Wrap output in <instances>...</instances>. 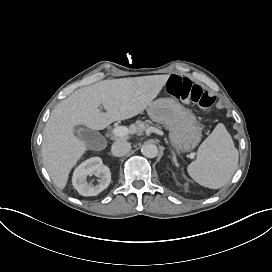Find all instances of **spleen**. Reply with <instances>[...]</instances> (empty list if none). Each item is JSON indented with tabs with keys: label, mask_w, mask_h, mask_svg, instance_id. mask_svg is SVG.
<instances>
[{
	"label": "spleen",
	"mask_w": 272,
	"mask_h": 272,
	"mask_svg": "<svg viewBox=\"0 0 272 272\" xmlns=\"http://www.w3.org/2000/svg\"><path fill=\"white\" fill-rule=\"evenodd\" d=\"M196 156L187 173L199 185L210 189L224 186L238 165V151L222 123L203 141Z\"/></svg>",
	"instance_id": "3e777b00"
}]
</instances>
